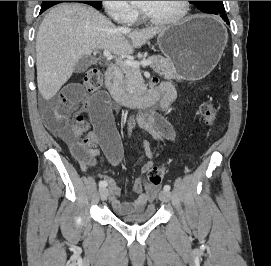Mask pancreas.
Wrapping results in <instances>:
<instances>
[{
    "instance_id": "obj_1",
    "label": "pancreas",
    "mask_w": 271,
    "mask_h": 266,
    "mask_svg": "<svg viewBox=\"0 0 271 266\" xmlns=\"http://www.w3.org/2000/svg\"><path fill=\"white\" fill-rule=\"evenodd\" d=\"M143 60H151L153 63L151 68L164 76L165 78H173L175 76V67L172 61L168 58H164L160 55H153L149 57H144ZM122 73L124 74L123 77V86L125 90L134 96H138L144 93L146 90V86L144 84L143 77L139 69L130 67V66H121Z\"/></svg>"
}]
</instances>
